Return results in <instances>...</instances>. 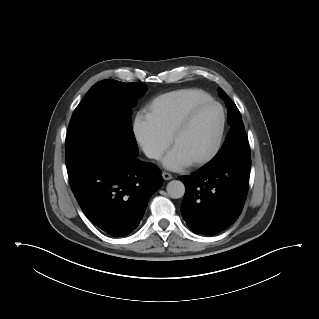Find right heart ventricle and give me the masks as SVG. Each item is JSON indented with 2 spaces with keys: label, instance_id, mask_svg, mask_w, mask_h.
Masks as SVG:
<instances>
[{
  "label": "right heart ventricle",
  "instance_id": "e07e8e85",
  "mask_svg": "<svg viewBox=\"0 0 319 319\" xmlns=\"http://www.w3.org/2000/svg\"><path fill=\"white\" fill-rule=\"evenodd\" d=\"M209 99H212L210 94L197 88L168 92L155 97L148 104L146 116L166 138H169L192 106Z\"/></svg>",
  "mask_w": 319,
  "mask_h": 319
}]
</instances>
